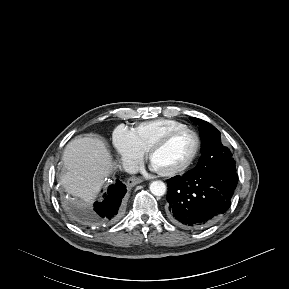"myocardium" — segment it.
Returning a JSON list of instances; mask_svg holds the SVG:
<instances>
[{"instance_id":"f54148a6","label":"myocardium","mask_w":289,"mask_h":289,"mask_svg":"<svg viewBox=\"0 0 289 289\" xmlns=\"http://www.w3.org/2000/svg\"><path fill=\"white\" fill-rule=\"evenodd\" d=\"M182 133H190L194 136L195 147L193 153L191 154L189 159L179 167L164 172L157 171L158 174H160L163 177H173L178 174H181L185 172L194 163L201 149V138L199 134L195 130L188 127L175 129L164 135L158 141H156L147 151V160L151 164V159L154 156V154L157 153L159 150H161L163 147H165L174 137Z\"/></svg>"}]
</instances>
